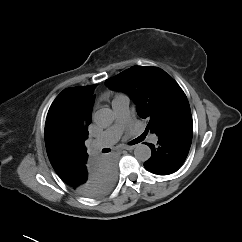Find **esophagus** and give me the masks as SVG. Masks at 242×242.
Here are the masks:
<instances>
[{"instance_id": "34e87169", "label": "esophagus", "mask_w": 242, "mask_h": 242, "mask_svg": "<svg viewBox=\"0 0 242 242\" xmlns=\"http://www.w3.org/2000/svg\"><path fill=\"white\" fill-rule=\"evenodd\" d=\"M134 148V145H124L122 147V149H125V150H132Z\"/></svg>"}]
</instances>
